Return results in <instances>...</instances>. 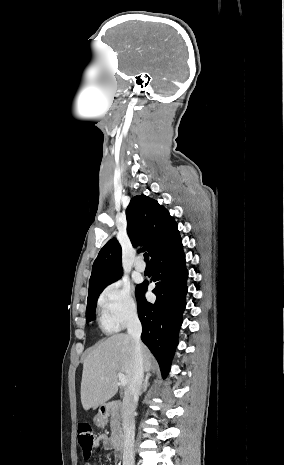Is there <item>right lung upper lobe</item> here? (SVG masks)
I'll return each instance as SVG.
<instances>
[{
  "mask_svg": "<svg viewBox=\"0 0 284 465\" xmlns=\"http://www.w3.org/2000/svg\"><path fill=\"white\" fill-rule=\"evenodd\" d=\"M127 233L133 246L152 258L167 249L179 238L178 225L169 212L157 201L145 195L131 199L127 209ZM122 250L117 239H110L100 250L92 267L88 296L118 280L122 273Z\"/></svg>",
  "mask_w": 284,
  "mask_h": 465,
  "instance_id": "obj_1",
  "label": "right lung upper lobe"
}]
</instances>
